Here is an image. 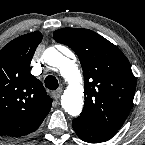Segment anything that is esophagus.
Here are the masks:
<instances>
[{
    "mask_svg": "<svg viewBox=\"0 0 145 145\" xmlns=\"http://www.w3.org/2000/svg\"><path fill=\"white\" fill-rule=\"evenodd\" d=\"M63 92L62 88L57 89L56 91L52 92V96L54 99H59Z\"/></svg>",
    "mask_w": 145,
    "mask_h": 145,
    "instance_id": "1",
    "label": "esophagus"
}]
</instances>
